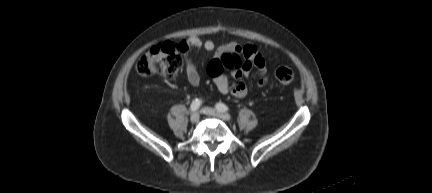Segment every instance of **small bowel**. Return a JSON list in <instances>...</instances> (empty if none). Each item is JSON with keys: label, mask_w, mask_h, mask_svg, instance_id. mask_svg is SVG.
I'll return each mask as SVG.
<instances>
[{"label": "small bowel", "mask_w": 432, "mask_h": 193, "mask_svg": "<svg viewBox=\"0 0 432 193\" xmlns=\"http://www.w3.org/2000/svg\"><path fill=\"white\" fill-rule=\"evenodd\" d=\"M179 46L186 58L187 81L193 87H197L200 84L201 77L197 64L190 55L192 49H203L208 52L215 50L212 62L218 65L221 64L222 55L226 53L240 55L243 58L244 64L241 68L231 71L235 82L231 83L223 71L214 76L215 85L222 94H231L237 98L245 97L248 93V87L244 79L249 76L253 68L256 69L259 76V88L264 87L268 82V70L265 60L255 45L227 43L216 47L212 40H203L197 36H192L181 42Z\"/></svg>", "instance_id": "1"}]
</instances>
